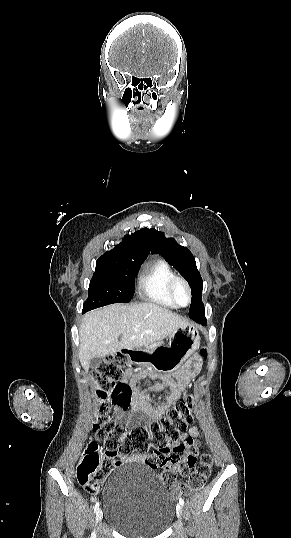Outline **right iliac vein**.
Here are the masks:
<instances>
[{
    "mask_svg": "<svg viewBox=\"0 0 291 538\" xmlns=\"http://www.w3.org/2000/svg\"><path fill=\"white\" fill-rule=\"evenodd\" d=\"M103 518V512L100 508H98L96 513V526L101 522ZM92 538H96V530L93 532Z\"/></svg>",
    "mask_w": 291,
    "mask_h": 538,
    "instance_id": "right-iliac-vein-1",
    "label": "right iliac vein"
}]
</instances>
